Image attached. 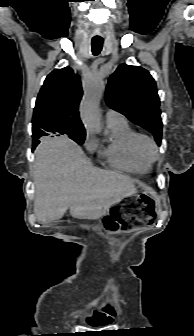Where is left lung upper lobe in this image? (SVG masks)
Returning a JSON list of instances; mask_svg holds the SVG:
<instances>
[{
	"mask_svg": "<svg viewBox=\"0 0 194 336\" xmlns=\"http://www.w3.org/2000/svg\"><path fill=\"white\" fill-rule=\"evenodd\" d=\"M106 101L109 107L150 131L160 144L163 126L160 100L156 83L147 70L120 65L109 78Z\"/></svg>",
	"mask_w": 194,
	"mask_h": 336,
	"instance_id": "1",
	"label": "left lung upper lobe"
}]
</instances>
